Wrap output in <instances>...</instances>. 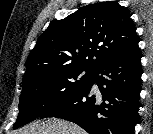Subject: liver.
I'll return each mask as SVG.
<instances>
[{
  "mask_svg": "<svg viewBox=\"0 0 153 134\" xmlns=\"http://www.w3.org/2000/svg\"><path fill=\"white\" fill-rule=\"evenodd\" d=\"M16 134H86L79 126L57 118L35 122L20 129Z\"/></svg>",
  "mask_w": 153,
  "mask_h": 134,
  "instance_id": "obj_1",
  "label": "liver"
}]
</instances>
